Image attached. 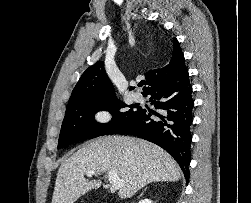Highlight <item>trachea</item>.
<instances>
[{
  "instance_id": "3493384b",
  "label": "trachea",
  "mask_w": 251,
  "mask_h": 203,
  "mask_svg": "<svg viewBox=\"0 0 251 203\" xmlns=\"http://www.w3.org/2000/svg\"><path fill=\"white\" fill-rule=\"evenodd\" d=\"M144 84H145V82L142 81V82L139 83V86L142 87Z\"/></svg>"
}]
</instances>
